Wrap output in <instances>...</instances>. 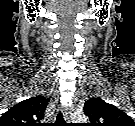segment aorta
Instances as JSON below:
<instances>
[{
	"label": "aorta",
	"mask_w": 135,
	"mask_h": 126,
	"mask_svg": "<svg viewBox=\"0 0 135 126\" xmlns=\"http://www.w3.org/2000/svg\"><path fill=\"white\" fill-rule=\"evenodd\" d=\"M73 121L75 122H81V123H84L86 122L87 120V117L85 115H74L73 118H72Z\"/></svg>",
	"instance_id": "1"
}]
</instances>
